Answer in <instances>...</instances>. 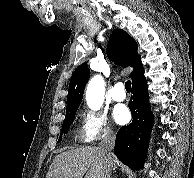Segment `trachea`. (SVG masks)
Segmentation results:
<instances>
[{"instance_id": "obj_1", "label": "trachea", "mask_w": 194, "mask_h": 178, "mask_svg": "<svg viewBox=\"0 0 194 178\" xmlns=\"http://www.w3.org/2000/svg\"><path fill=\"white\" fill-rule=\"evenodd\" d=\"M125 89L127 92H130L131 91V82L130 80H127L126 83H125Z\"/></svg>"}]
</instances>
